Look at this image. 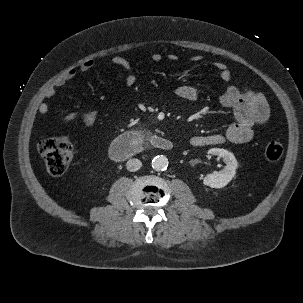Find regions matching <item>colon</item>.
I'll list each match as a JSON object with an SVG mask.
<instances>
[{"label": "colon", "mask_w": 303, "mask_h": 303, "mask_svg": "<svg viewBox=\"0 0 303 303\" xmlns=\"http://www.w3.org/2000/svg\"><path fill=\"white\" fill-rule=\"evenodd\" d=\"M96 117V111L90 110L82 115L85 125H91ZM37 149L45 161L50 174L62 175L68 169L73 157V145L69 138L63 136H42ZM283 154V146L279 140L270 141L265 148V158L269 162L278 161Z\"/></svg>", "instance_id": "1"}]
</instances>
